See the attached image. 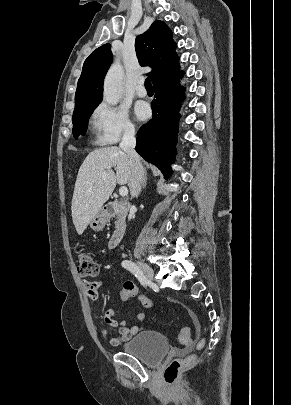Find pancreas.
<instances>
[{"mask_svg":"<svg viewBox=\"0 0 291 405\" xmlns=\"http://www.w3.org/2000/svg\"><path fill=\"white\" fill-rule=\"evenodd\" d=\"M117 219H118V220H122V219H123L122 215L118 214Z\"/></svg>","mask_w":291,"mask_h":405,"instance_id":"pancreas-1","label":"pancreas"}]
</instances>
